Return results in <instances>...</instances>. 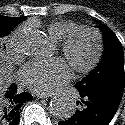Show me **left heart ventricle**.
<instances>
[{
    "label": "left heart ventricle",
    "mask_w": 125,
    "mask_h": 125,
    "mask_svg": "<svg viewBox=\"0 0 125 125\" xmlns=\"http://www.w3.org/2000/svg\"><path fill=\"white\" fill-rule=\"evenodd\" d=\"M93 50L94 40L90 35L85 34L77 40L72 54V59L76 62L84 63L90 58Z\"/></svg>",
    "instance_id": "1"
}]
</instances>
